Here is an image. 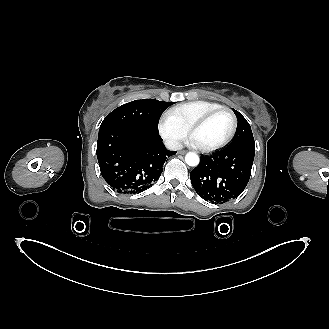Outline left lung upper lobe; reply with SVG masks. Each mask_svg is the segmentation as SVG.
<instances>
[{
  "label": "left lung upper lobe",
  "mask_w": 329,
  "mask_h": 329,
  "mask_svg": "<svg viewBox=\"0 0 329 329\" xmlns=\"http://www.w3.org/2000/svg\"><path fill=\"white\" fill-rule=\"evenodd\" d=\"M237 119L238 125L236 129V133L232 142L228 145V147L235 146L238 144H254V138L252 134L251 127L247 120L243 117L241 113L233 109Z\"/></svg>",
  "instance_id": "obj_1"
}]
</instances>
